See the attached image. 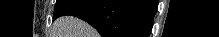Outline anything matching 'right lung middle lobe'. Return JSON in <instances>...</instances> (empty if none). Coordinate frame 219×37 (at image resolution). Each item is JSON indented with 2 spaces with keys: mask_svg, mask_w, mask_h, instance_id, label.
I'll return each instance as SVG.
<instances>
[{
  "mask_svg": "<svg viewBox=\"0 0 219 37\" xmlns=\"http://www.w3.org/2000/svg\"><path fill=\"white\" fill-rule=\"evenodd\" d=\"M72 0H57L56 5H55V9H54V14L53 17H55L59 11L66 6L68 3H70Z\"/></svg>",
  "mask_w": 219,
  "mask_h": 37,
  "instance_id": "right-lung-middle-lobe-1",
  "label": "right lung middle lobe"
}]
</instances>
